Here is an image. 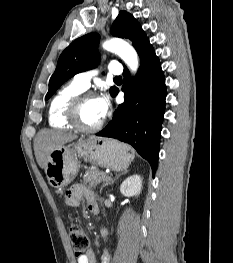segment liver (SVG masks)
I'll return each instance as SVG.
<instances>
[{"label":"liver","mask_w":233,"mask_h":263,"mask_svg":"<svg viewBox=\"0 0 233 263\" xmlns=\"http://www.w3.org/2000/svg\"><path fill=\"white\" fill-rule=\"evenodd\" d=\"M75 134L43 129L38 132L34 139V152L38 165L45 169L47 160L52 151L61 145L75 140Z\"/></svg>","instance_id":"6515ba94"}]
</instances>
